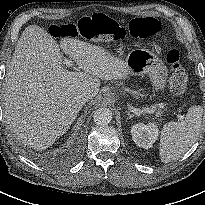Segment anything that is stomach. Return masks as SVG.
<instances>
[{"label": "stomach", "instance_id": "1", "mask_svg": "<svg viewBox=\"0 0 205 205\" xmlns=\"http://www.w3.org/2000/svg\"><path fill=\"white\" fill-rule=\"evenodd\" d=\"M124 62L130 75H148L156 90L165 88L168 70L164 62L153 52L144 48L133 49Z\"/></svg>", "mask_w": 205, "mask_h": 205}]
</instances>
